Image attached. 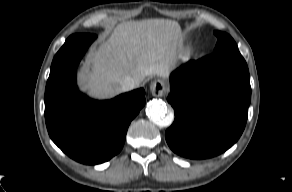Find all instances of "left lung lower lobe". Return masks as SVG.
<instances>
[{
  "label": "left lung lower lobe",
  "instance_id": "obj_1",
  "mask_svg": "<svg viewBox=\"0 0 292 192\" xmlns=\"http://www.w3.org/2000/svg\"><path fill=\"white\" fill-rule=\"evenodd\" d=\"M170 83L168 102L175 120L165 138L175 153L210 158L239 139L251 100L249 71L240 52L189 61L171 74Z\"/></svg>",
  "mask_w": 292,
  "mask_h": 192
}]
</instances>
